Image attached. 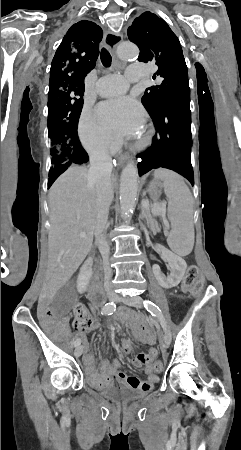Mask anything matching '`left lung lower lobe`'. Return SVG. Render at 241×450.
<instances>
[{
	"label": "left lung lower lobe",
	"mask_w": 241,
	"mask_h": 450,
	"mask_svg": "<svg viewBox=\"0 0 241 450\" xmlns=\"http://www.w3.org/2000/svg\"><path fill=\"white\" fill-rule=\"evenodd\" d=\"M151 118L156 135L151 147L137 156L140 159L139 174L154 168H168L183 175L193 185L190 97L166 106Z\"/></svg>",
	"instance_id": "1"
}]
</instances>
